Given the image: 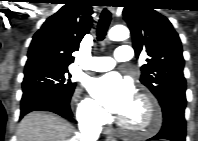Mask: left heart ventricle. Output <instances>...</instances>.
<instances>
[{
	"instance_id": "1",
	"label": "left heart ventricle",
	"mask_w": 198,
	"mask_h": 141,
	"mask_svg": "<svg viewBox=\"0 0 198 141\" xmlns=\"http://www.w3.org/2000/svg\"><path fill=\"white\" fill-rule=\"evenodd\" d=\"M128 123L134 126H144L147 123L146 108L135 100L130 110L123 116Z\"/></svg>"
}]
</instances>
